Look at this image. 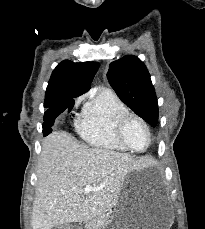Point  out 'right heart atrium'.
Segmentation results:
<instances>
[{
  "mask_svg": "<svg viewBox=\"0 0 205 229\" xmlns=\"http://www.w3.org/2000/svg\"><path fill=\"white\" fill-rule=\"evenodd\" d=\"M82 99H83V97L81 96V97H79L77 100H76V103H75V105L77 106L81 101H82Z\"/></svg>",
  "mask_w": 205,
  "mask_h": 229,
  "instance_id": "1",
  "label": "right heart atrium"
}]
</instances>
